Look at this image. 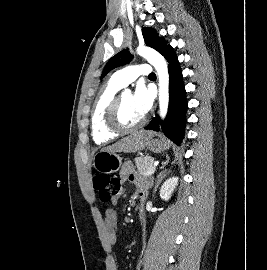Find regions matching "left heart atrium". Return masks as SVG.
<instances>
[{"mask_svg": "<svg viewBox=\"0 0 267 270\" xmlns=\"http://www.w3.org/2000/svg\"><path fill=\"white\" fill-rule=\"evenodd\" d=\"M136 110L144 116L152 106V94L142 83L138 84L132 96Z\"/></svg>", "mask_w": 267, "mask_h": 270, "instance_id": "left-heart-atrium-1", "label": "left heart atrium"}]
</instances>
